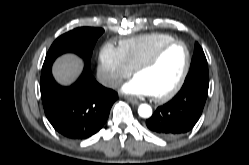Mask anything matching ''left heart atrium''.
<instances>
[{
  "label": "left heart atrium",
  "mask_w": 249,
  "mask_h": 165,
  "mask_svg": "<svg viewBox=\"0 0 249 165\" xmlns=\"http://www.w3.org/2000/svg\"><path fill=\"white\" fill-rule=\"evenodd\" d=\"M122 91L132 96H151V91L146 84L139 78L134 77L122 86Z\"/></svg>",
  "instance_id": "39dd6f15"
}]
</instances>
